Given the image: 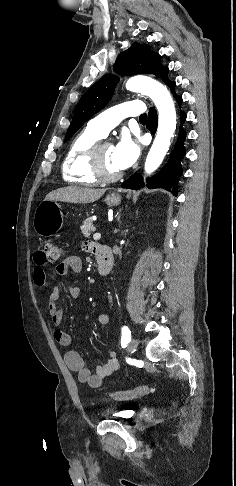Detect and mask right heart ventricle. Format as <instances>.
I'll return each instance as SVG.
<instances>
[{
    "label": "right heart ventricle",
    "instance_id": "1",
    "mask_svg": "<svg viewBox=\"0 0 236 486\" xmlns=\"http://www.w3.org/2000/svg\"><path fill=\"white\" fill-rule=\"evenodd\" d=\"M101 138L102 136L87 127L72 140L61 167L64 181L84 186L98 183L90 173L88 155L91 147Z\"/></svg>",
    "mask_w": 236,
    "mask_h": 486
}]
</instances>
